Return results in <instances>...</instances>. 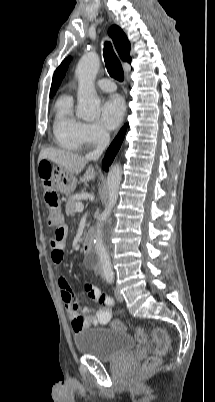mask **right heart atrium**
<instances>
[{
  "instance_id": "1",
  "label": "right heart atrium",
  "mask_w": 215,
  "mask_h": 402,
  "mask_svg": "<svg viewBox=\"0 0 215 402\" xmlns=\"http://www.w3.org/2000/svg\"><path fill=\"white\" fill-rule=\"evenodd\" d=\"M81 144L93 146L103 142L107 138L105 130L97 123L82 122L79 127Z\"/></svg>"
}]
</instances>
